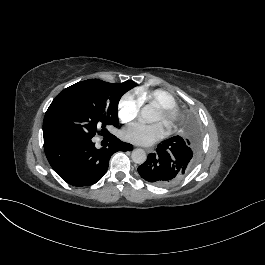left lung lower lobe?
<instances>
[{
    "instance_id": "1",
    "label": "left lung lower lobe",
    "mask_w": 265,
    "mask_h": 265,
    "mask_svg": "<svg viewBox=\"0 0 265 265\" xmlns=\"http://www.w3.org/2000/svg\"><path fill=\"white\" fill-rule=\"evenodd\" d=\"M193 153L180 136L161 142L155 153L138 167V173L146 181L166 186L176 183L192 168Z\"/></svg>"
}]
</instances>
